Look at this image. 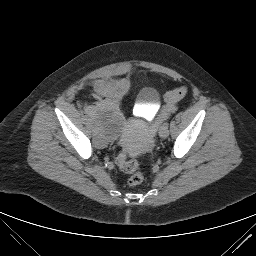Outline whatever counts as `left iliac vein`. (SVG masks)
I'll return each instance as SVG.
<instances>
[{
    "instance_id": "4c4485c4",
    "label": "left iliac vein",
    "mask_w": 256,
    "mask_h": 256,
    "mask_svg": "<svg viewBox=\"0 0 256 256\" xmlns=\"http://www.w3.org/2000/svg\"><path fill=\"white\" fill-rule=\"evenodd\" d=\"M159 136L161 138H167L169 136V129H168V125H162L159 129Z\"/></svg>"
}]
</instances>
